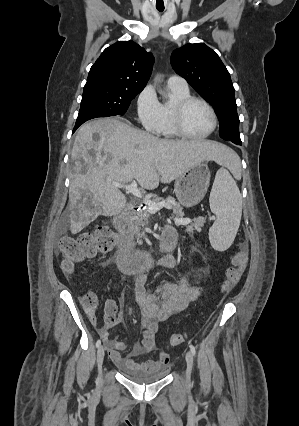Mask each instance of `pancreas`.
Listing matches in <instances>:
<instances>
[{
  "instance_id": "pancreas-1",
  "label": "pancreas",
  "mask_w": 299,
  "mask_h": 426,
  "mask_svg": "<svg viewBox=\"0 0 299 426\" xmlns=\"http://www.w3.org/2000/svg\"><path fill=\"white\" fill-rule=\"evenodd\" d=\"M154 203L159 202H166L170 205V208L172 210L173 216L176 218H183L184 213L182 211V208L178 203L175 202V199L173 197H168L166 199L155 197L151 200ZM150 218V212L148 209H141L138 212H135L133 216L131 217L130 221V227L129 230L132 232V234L135 235L137 239L138 244H142V232L143 229L148 224V220ZM205 218L203 217H197L193 219V223L190 225H186L185 231L188 232L190 235L194 234V230L201 231V227L204 226Z\"/></svg>"
}]
</instances>
